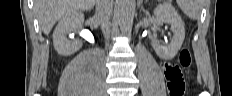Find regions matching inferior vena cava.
Wrapping results in <instances>:
<instances>
[{
	"mask_svg": "<svg viewBox=\"0 0 232 96\" xmlns=\"http://www.w3.org/2000/svg\"><path fill=\"white\" fill-rule=\"evenodd\" d=\"M113 0H97L96 16L100 20L101 29L105 37L109 36V19L112 15Z\"/></svg>",
	"mask_w": 232,
	"mask_h": 96,
	"instance_id": "obj_1",
	"label": "inferior vena cava"
}]
</instances>
